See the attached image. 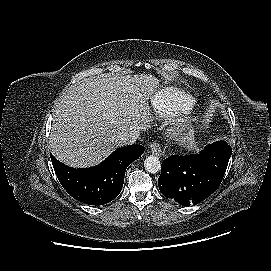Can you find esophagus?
Here are the masks:
<instances>
[{
  "label": "esophagus",
  "mask_w": 271,
  "mask_h": 271,
  "mask_svg": "<svg viewBox=\"0 0 271 271\" xmlns=\"http://www.w3.org/2000/svg\"><path fill=\"white\" fill-rule=\"evenodd\" d=\"M150 151L152 154L161 157L163 155V151L161 149V146L157 142H152L150 144Z\"/></svg>",
  "instance_id": "34e87169"
}]
</instances>
